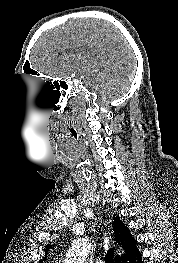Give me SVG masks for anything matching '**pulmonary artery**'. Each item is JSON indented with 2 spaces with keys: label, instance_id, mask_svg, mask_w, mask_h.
<instances>
[{
  "label": "pulmonary artery",
  "instance_id": "obj_1",
  "mask_svg": "<svg viewBox=\"0 0 178 263\" xmlns=\"http://www.w3.org/2000/svg\"><path fill=\"white\" fill-rule=\"evenodd\" d=\"M95 263H103V261L100 259H97V260H95Z\"/></svg>",
  "mask_w": 178,
  "mask_h": 263
}]
</instances>
